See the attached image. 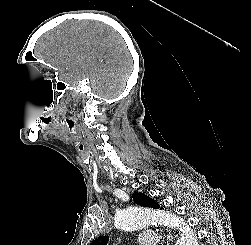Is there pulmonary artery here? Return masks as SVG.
<instances>
[{
  "label": "pulmonary artery",
  "instance_id": "1",
  "mask_svg": "<svg viewBox=\"0 0 251 245\" xmlns=\"http://www.w3.org/2000/svg\"><path fill=\"white\" fill-rule=\"evenodd\" d=\"M139 245H156L158 242V235L155 232L142 233L138 238Z\"/></svg>",
  "mask_w": 251,
  "mask_h": 245
}]
</instances>
